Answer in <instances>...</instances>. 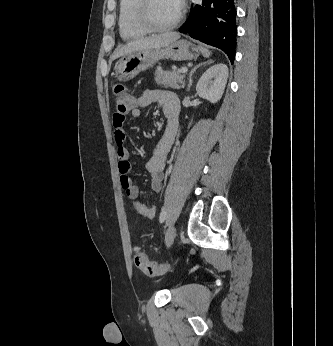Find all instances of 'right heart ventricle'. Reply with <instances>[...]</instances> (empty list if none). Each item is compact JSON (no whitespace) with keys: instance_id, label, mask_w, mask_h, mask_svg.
<instances>
[{"instance_id":"right-heart-ventricle-1","label":"right heart ventricle","mask_w":333,"mask_h":346,"mask_svg":"<svg viewBox=\"0 0 333 346\" xmlns=\"http://www.w3.org/2000/svg\"><path fill=\"white\" fill-rule=\"evenodd\" d=\"M138 2V0H119L118 29L121 38L125 41L137 40L148 32L138 18Z\"/></svg>"}]
</instances>
